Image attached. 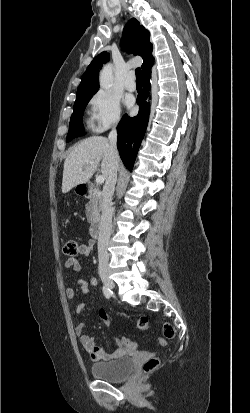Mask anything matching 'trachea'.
<instances>
[{"mask_svg":"<svg viewBox=\"0 0 250 413\" xmlns=\"http://www.w3.org/2000/svg\"><path fill=\"white\" fill-rule=\"evenodd\" d=\"M136 83H142V72L141 68H136Z\"/></svg>","mask_w":250,"mask_h":413,"instance_id":"obj_1","label":"trachea"}]
</instances>
